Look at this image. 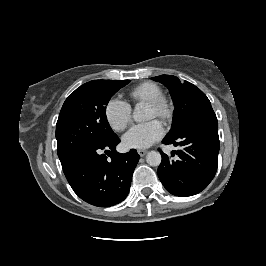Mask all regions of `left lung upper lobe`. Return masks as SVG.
I'll return each instance as SVG.
<instances>
[{"mask_svg":"<svg viewBox=\"0 0 266 266\" xmlns=\"http://www.w3.org/2000/svg\"><path fill=\"white\" fill-rule=\"evenodd\" d=\"M152 79L163 83L170 90L174 101L173 122L167 138L178 135L195 121L214 113L207 96L192 83H181L172 75H161Z\"/></svg>","mask_w":266,"mask_h":266,"instance_id":"left-lung-upper-lobe-1","label":"left lung upper lobe"}]
</instances>
